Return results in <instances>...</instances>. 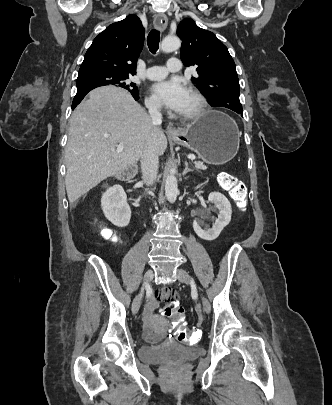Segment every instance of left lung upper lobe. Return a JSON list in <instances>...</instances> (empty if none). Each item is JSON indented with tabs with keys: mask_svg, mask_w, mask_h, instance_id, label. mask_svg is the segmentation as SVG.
Wrapping results in <instances>:
<instances>
[{
	"mask_svg": "<svg viewBox=\"0 0 332 405\" xmlns=\"http://www.w3.org/2000/svg\"><path fill=\"white\" fill-rule=\"evenodd\" d=\"M177 35L182 40L181 59L185 66L197 67L192 81L208 97L209 104L233 111L241 109L239 79L227 47L189 18L180 22Z\"/></svg>",
	"mask_w": 332,
	"mask_h": 405,
	"instance_id": "obj_1",
	"label": "left lung upper lobe"
}]
</instances>
